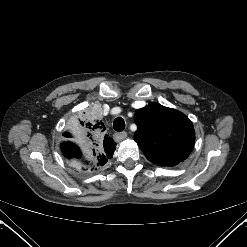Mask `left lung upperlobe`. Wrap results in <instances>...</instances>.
I'll return each mask as SVG.
<instances>
[{"mask_svg":"<svg viewBox=\"0 0 247 247\" xmlns=\"http://www.w3.org/2000/svg\"><path fill=\"white\" fill-rule=\"evenodd\" d=\"M138 127L134 140L148 160L160 166H174L184 161L192 151L195 131L183 113L149 103L136 111Z\"/></svg>","mask_w":247,"mask_h":247,"instance_id":"left-lung-upper-lobe-1","label":"left lung upper lobe"}]
</instances>
